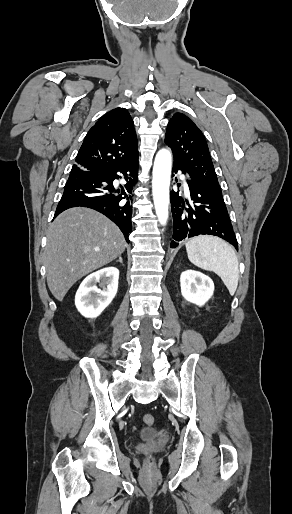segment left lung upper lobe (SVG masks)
<instances>
[{"mask_svg":"<svg viewBox=\"0 0 292 514\" xmlns=\"http://www.w3.org/2000/svg\"><path fill=\"white\" fill-rule=\"evenodd\" d=\"M165 143L173 152L174 164L192 181L221 190L206 139L190 118L174 114L167 126Z\"/></svg>","mask_w":292,"mask_h":514,"instance_id":"1","label":"left lung upper lobe"}]
</instances>
